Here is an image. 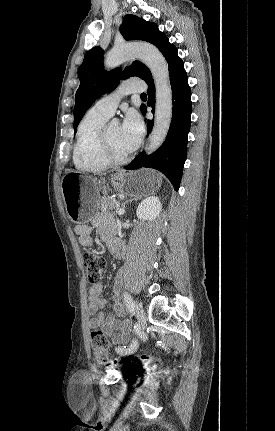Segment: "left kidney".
<instances>
[{
    "label": "left kidney",
    "instance_id": "5707ae66",
    "mask_svg": "<svg viewBox=\"0 0 275 431\" xmlns=\"http://www.w3.org/2000/svg\"><path fill=\"white\" fill-rule=\"evenodd\" d=\"M162 210V204L158 197L150 196L145 198L136 210L138 219L140 220H155Z\"/></svg>",
    "mask_w": 275,
    "mask_h": 431
}]
</instances>
